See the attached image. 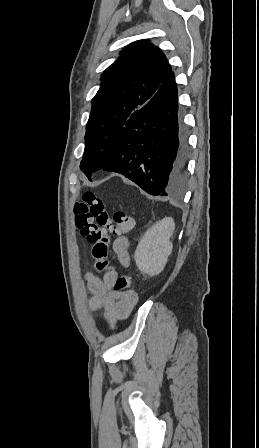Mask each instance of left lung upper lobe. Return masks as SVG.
Instances as JSON below:
<instances>
[{
  "instance_id": "5c2ea615",
  "label": "left lung upper lobe",
  "mask_w": 259,
  "mask_h": 448,
  "mask_svg": "<svg viewBox=\"0 0 259 448\" xmlns=\"http://www.w3.org/2000/svg\"><path fill=\"white\" fill-rule=\"evenodd\" d=\"M101 76L86 125L85 151L80 169L90 163L123 128L130 113L143 107L172 72L160 48L143 39L126 46Z\"/></svg>"
}]
</instances>
